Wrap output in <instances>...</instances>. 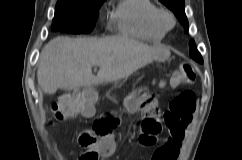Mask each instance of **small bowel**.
<instances>
[{
	"label": "small bowel",
	"mask_w": 242,
	"mask_h": 160,
	"mask_svg": "<svg viewBox=\"0 0 242 160\" xmlns=\"http://www.w3.org/2000/svg\"><path fill=\"white\" fill-rule=\"evenodd\" d=\"M126 107L129 112H136L140 109L139 104L130 102V97L126 99ZM94 113L95 108H93L89 112H83L82 115L85 117H90L93 116ZM168 129L170 131V137L164 142L162 146L155 150L151 160H177V157L180 153L181 144L185 135V126H180L177 129ZM177 131L179 132V136L174 135V133ZM89 147L90 148L85 153H83L78 160H84V156L92 151L96 152L98 157H107L112 155L116 148V138L112 131H110L104 136L98 137L97 141Z\"/></svg>",
	"instance_id": "1"
}]
</instances>
